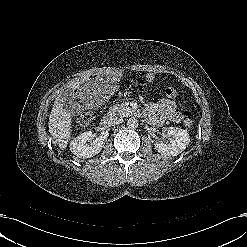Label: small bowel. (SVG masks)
<instances>
[{"label": "small bowel", "instance_id": "1", "mask_svg": "<svg viewBox=\"0 0 247 247\" xmlns=\"http://www.w3.org/2000/svg\"><path fill=\"white\" fill-rule=\"evenodd\" d=\"M147 79L152 81L154 75L149 73ZM148 122L153 125H162L166 120L180 123L182 121L181 113L176 111V104L169 99H162L156 103H148L146 106Z\"/></svg>", "mask_w": 247, "mask_h": 247}]
</instances>
